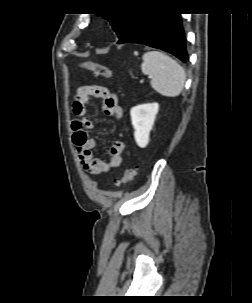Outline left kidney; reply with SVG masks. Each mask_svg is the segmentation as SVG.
<instances>
[{"mask_svg":"<svg viewBox=\"0 0 252 303\" xmlns=\"http://www.w3.org/2000/svg\"><path fill=\"white\" fill-rule=\"evenodd\" d=\"M158 110V103H146L135 106L130 111L134 138L137 145L141 148H145L149 143L150 131L154 125Z\"/></svg>","mask_w":252,"mask_h":303,"instance_id":"left-kidney-1","label":"left kidney"}]
</instances>
